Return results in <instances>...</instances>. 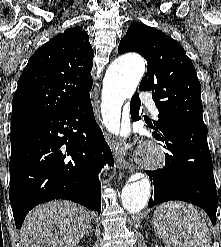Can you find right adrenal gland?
I'll list each match as a JSON object with an SVG mask.
<instances>
[{
  "instance_id": "obj_1",
  "label": "right adrenal gland",
  "mask_w": 221,
  "mask_h": 247,
  "mask_svg": "<svg viewBox=\"0 0 221 247\" xmlns=\"http://www.w3.org/2000/svg\"><path fill=\"white\" fill-rule=\"evenodd\" d=\"M89 232H90V233H92V232H93V228H92V225H91V224H90L89 229L87 230L86 234L88 235V234H89Z\"/></svg>"
}]
</instances>
